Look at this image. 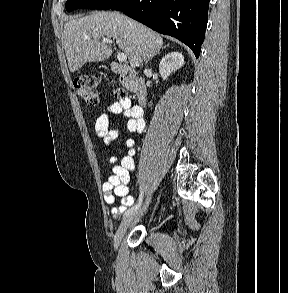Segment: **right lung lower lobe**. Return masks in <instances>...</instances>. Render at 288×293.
Segmentation results:
<instances>
[{
    "instance_id": "obj_1",
    "label": "right lung lower lobe",
    "mask_w": 288,
    "mask_h": 293,
    "mask_svg": "<svg viewBox=\"0 0 288 293\" xmlns=\"http://www.w3.org/2000/svg\"><path fill=\"white\" fill-rule=\"evenodd\" d=\"M208 5L209 0H122L110 9L177 38L198 58L205 37Z\"/></svg>"
}]
</instances>
